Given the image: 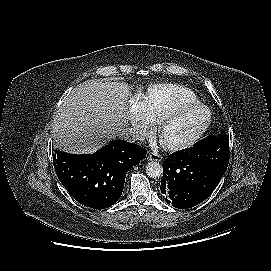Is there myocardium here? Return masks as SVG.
<instances>
[{"instance_id":"1","label":"myocardium","mask_w":271,"mask_h":271,"mask_svg":"<svg viewBox=\"0 0 271 271\" xmlns=\"http://www.w3.org/2000/svg\"><path fill=\"white\" fill-rule=\"evenodd\" d=\"M196 109H203L206 111V114H207V118H206L205 122L199 127V129L193 135H191L189 138H187L186 140H183L181 142H176V143L166 142L163 139V132H164V129L167 126V124L170 123L175 118H177L187 112L196 110ZM212 118H213V114H212L211 109L207 105H205L201 102L185 104V105L179 106L169 112H166L157 121V133H158L161 145L169 151H180V150H184V149H187V148L193 146L195 143H197L202 138V136L208 130V128L211 125Z\"/></svg>"}]
</instances>
